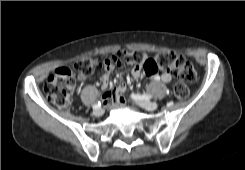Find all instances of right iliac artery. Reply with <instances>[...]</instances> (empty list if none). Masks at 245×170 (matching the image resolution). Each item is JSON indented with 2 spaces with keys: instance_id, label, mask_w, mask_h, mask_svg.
<instances>
[{
  "instance_id": "right-iliac-artery-1",
  "label": "right iliac artery",
  "mask_w": 245,
  "mask_h": 170,
  "mask_svg": "<svg viewBox=\"0 0 245 170\" xmlns=\"http://www.w3.org/2000/svg\"><path fill=\"white\" fill-rule=\"evenodd\" d=\"M94 107L98 109L100 107V102L96 103Z\"/></svg>"
}]
</instances>
